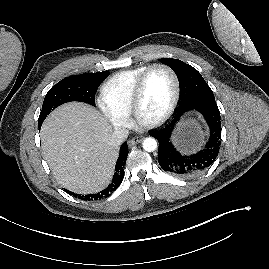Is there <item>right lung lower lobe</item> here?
Masks as SVG:
<instances>
[{"instance_id":"1","label":"right lung lower lobe","mask_w":269,"mask_h":269,"mask_svg":"<svg viewBox=\"0 0 269 269\" xmlns=\"http://www.w3.org/2000/svg\"><path fill=\"white\" fill-rule=\"evenodd\" d=\"M127 155H128V147L126 143H123L120 148V154H119L116 166H115V173H114L113 179L111 183L108 185V187L102 190L101 192L96 193V194L78 195L68 190H65V191L73 195L74 197H79L82 200H88V201L98 200V199L106 198L110 196V194L118 188V186L121 184L123 180L124 165L126 164Z\"/></svg>"}]
</instances>
